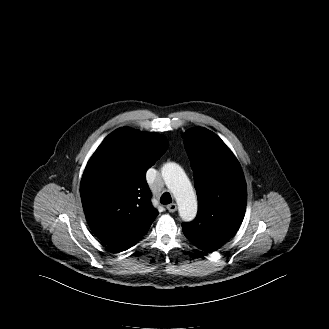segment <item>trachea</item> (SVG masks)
<instances>
[{"label":"trachea","mask_w":329,"mask_h":329,"mask_svg":"<svg viewBox=\"0 0 329 329\" xmlns=\"http://www.w3.org/2000/svg\"><path fill=\"white\" fill-rule=\"evenodd\" d=\"M160 202H161V204H164V205L170 204L172 202L170 193H168V192L163 193V195L160 198Z\"/></svg>","instance_id":"obj_1"}]
</instances>
